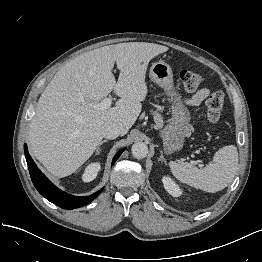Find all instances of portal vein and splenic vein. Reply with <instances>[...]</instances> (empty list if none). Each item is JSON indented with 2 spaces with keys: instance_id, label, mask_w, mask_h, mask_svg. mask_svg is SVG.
Returning a JSON list of instances; mask_svg holds the SVG:
<instances>
[{
  "instance_id": "obj_1",
  "label": "portal vein and splenic vein",
  "mask_w": 262,
  "mask_h": 262,
  "mask_svg": "<svg viewBox=\"0 0 262 262\" xmlns=\"http://www.w3.org/2000/svg\"><path fill=\"white\" fill-rule=\"evenodd\" d=\"M111 104H112V98L108 97L103 99L100 103L96 104L94 107L100 110H106L111 107Z\"/></svg>"
}]
</instances>
